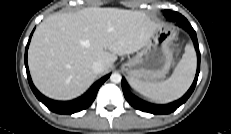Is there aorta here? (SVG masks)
<instances>
[{"mask_svg": "<svg viewBox=\"0 0 231 134\" xmlns=\"http://www.w3.org/2000/svg\"><path fill=\"white\" fill-rule=\"evenodd\" d=\"M121 79H122L121 74H119L117 72L112 73L111 76H110V80L113 83H119V82H121Z\"/></svg>", "mask_w": 231, "mask_h": 134, "instance_id": "obj_1", "label": "aorta"}]
</instances>
